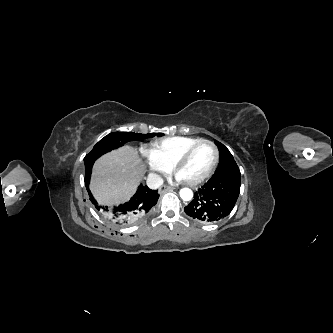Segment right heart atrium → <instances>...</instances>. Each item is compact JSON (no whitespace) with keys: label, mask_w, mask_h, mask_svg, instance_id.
Returning a JSON list of instances; mask_svg holds the SVG:
<instances>
[{"label":"right heart atrium","mask_w":333,"mask_h":333,"mask_svg":"<svg viewBox=\"0 0 333 333\" xmlns=\"http://www.w3.org/2000/svg\"><path fill=\"white\" fill-rule=\"evenodd\" d=\"M140 152L153 176L158 177L168 173L169 169L159 160L153 150L142 148Z\"/></svg>","instance_id":"obj_1"}]
</instances>
